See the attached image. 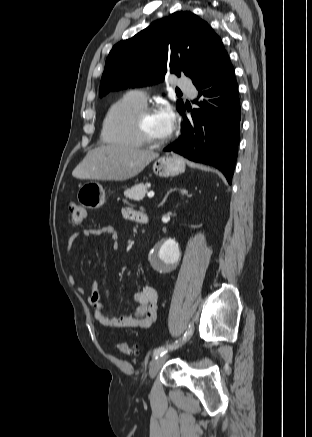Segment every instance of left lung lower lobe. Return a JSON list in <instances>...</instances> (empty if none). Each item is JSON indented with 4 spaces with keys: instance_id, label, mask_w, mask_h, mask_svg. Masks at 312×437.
I'll list each match as a JSON object with an SVG mask.
<instances>
[{
    "instance_id": "obj_1",
    "label": "left lung lower lobe",
    "mask_w": 312,
    "mask_h": 437,
    "mask_svg": "<svg viewBox=\"0 0 312 437\" xmlns=\"http://www.w3.org/2000/svg\"><path fill=\"white\" fill-rule=\"evenodd\" d=\"M194 85L199 96L205 97L198 103L201 108L192 110V119L184 117L182 135L164 151L213 165L231 184L238 155L241 109L233 66L226 51ZM184 112L185 108L181 114Z\"/></svg>"
}]
</instances>
